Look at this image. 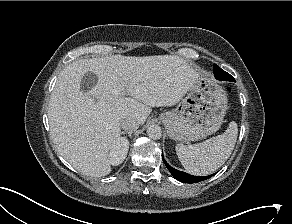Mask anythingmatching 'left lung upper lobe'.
Returning <instances> with one entry per match:
<instances>
[{
	"instance_id": "1",
	"label": "left lung upper lobe",
	"mask_w": 292,
	"mask_h": 224,
	"mask_svg": "<svg viewBox=\"0 0 292 224\" xmlns=\"http://www.w3.org/2000/svg\"><path fill=\"white\" fill-rule=\"evenodd\" d=\"M221 70V68L219 67V66H217L216 64H214V66H213V71H214V74H215V72L216 71H220ZM227 73V72H226ZM223 74V73H222ZM225 75V78H228V80L229 81H233L234 79L233 78H231V77H229L228 75H226V74H224ZM230 75V74H229Z\"/></svg>"
}]
</instances>
